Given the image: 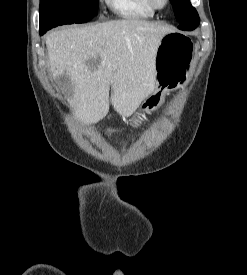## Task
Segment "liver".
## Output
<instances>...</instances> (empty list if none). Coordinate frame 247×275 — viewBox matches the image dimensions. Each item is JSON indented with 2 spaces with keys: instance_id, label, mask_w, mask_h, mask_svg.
Instances as JSON below:
<instances>
[{
  "instance_id": "1",
  "label": "liver",
  "mask_w": 247,
  "mask_h": 275,
  "mask_svg": "<svg viewBox=\"0 0 247 275\" xmlns=\"http://www.w3.org/2000/svg\"><path fill=\"white\" fill-rule=\"evenodd\" d=\"M171 32L157 23L128 18L48 34L50 70L54 78L69 77V89L62 90L75 118L97 123L107 115L110 101L122 117L131 116L156 88V51Z\"/></svg>"
}]
</instances>
